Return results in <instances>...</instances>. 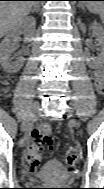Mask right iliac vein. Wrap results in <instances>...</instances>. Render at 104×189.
I'll use <instances>...</instances> for the list:
<instances>
[{
  "label": "right iliac vein",
  "instance_id": "1",
  "mask_svg": "<svg viewBox=\"0 0 104 189\" xmlns=\"http://www.w3.org/2000/svg\"><path fill=\"white\" fill-rule=\"evenodd\" d=\"M38 108H39V103L35 102L32 105L27 117L25 118V120L23 121V123L21 125V130L22 131H25V130L28 131L33 126L34 119H35V114H36Z\"/></svg>",
  "mask_w": 104,
  "mask_h": 189
}]
</instances>
